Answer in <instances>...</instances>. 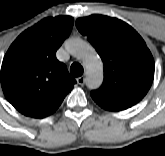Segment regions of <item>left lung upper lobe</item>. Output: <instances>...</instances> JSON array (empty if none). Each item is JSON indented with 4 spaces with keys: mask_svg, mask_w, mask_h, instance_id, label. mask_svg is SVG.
Masks as SVG:
<instances>
[{
    "mask_svg": "<svg viewBox=\"0 0 165 156\" xmlns=\"http://www.w3.org/2000/svg\"><path fill=\"white\" fill-rule=\"evenodd\" d=\"M76 27L88 37L104 63V82L91 96L114 111L137 104L154 78V60L142 37L127 23L104 15L78 18Z\"/></svg>",
    "mask_w": 165,
    "mask_h": 156,
    "instance_id": "5c2ea615",
    "label": "left lung upper lobe"
}]
</instances>
